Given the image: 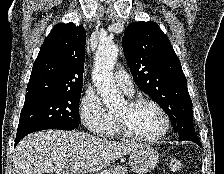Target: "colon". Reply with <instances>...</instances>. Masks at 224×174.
Listing matches in <instances>:
<instances>
[{"instance_id": "obj_1", "label": "colon", "mask_w": 224, "mask_h": 174, "mask_svg": "<svg viewBox=\"0 0 224 174\" xmlns=\"http://www.w3.org/2000/svg\"><path fill=\"white\" fill-rule=\"evenodd\" d=\"M169 167L173 172H180L183 169V163L179 158L171 157L169 159Z\"/></svg>"}]
</instances>
